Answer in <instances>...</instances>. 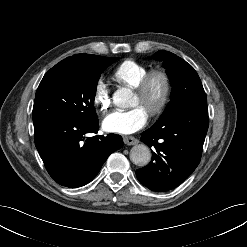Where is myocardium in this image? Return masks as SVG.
Wrapping results in <instances>:
<instances>
[{"instance_id":"1","label":"myocardium","mask_w":247,"mask_h":247,"mask_svg":"<svg viewBox=\"0 0 247 247\" xmlns=\"http://www.w3.org/2000/svg\"><path fill=\"white\" fill-rule=\"evenodd\" d=\"M156 79H159L162 83V93L159 101L148 110L150 116H157L161 114L170 100L172 92V81L169 74L162 69L151 70L141 79L139 84L134 88L135 93L141 99H145L150 92L152 83Z\"/></svg>"}]
</instances>
